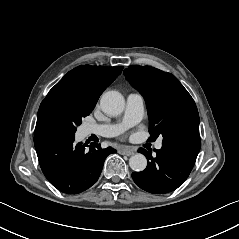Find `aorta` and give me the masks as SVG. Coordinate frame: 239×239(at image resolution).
<instances>
[{"label": "aorta", "mask_w": 239, "mask_h": 239, "mask_svg": "<svg viewBox=\"0 0 239 239\" xmlns=\"http://www.w3.org/2000/svg\"><path fill=\"white\" fill-rule=\"evenodd\" d=\"M125 105V100L123 95L118 91H106L102 94L100 98V106L104 113L116 116L120 114ZM130 168L140 172L146 169L147 159L142 154H135L129 159Z\"/></svg>", "instance_id": "1"}]
</instances>
